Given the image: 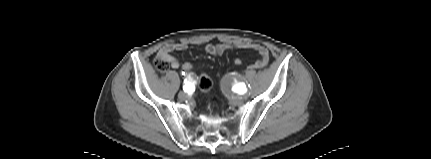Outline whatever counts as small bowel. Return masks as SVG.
I'll return each instance as SVG.
<instances>
[{"label": "small bowel", "mask_w": 431, "mask_h": 159, "mask_svg": "<svg viewBox=\"0 0 431 159\" xmlns=\"http://www.w3.org/2000/svg\"><path fill=\"white\" fill-rule=\"evenodd\" d=\"M187 48V44L185 43H170L163 46L157 53V59L163 60L168 63L173 69H178L179 67L183 70V64L181 65L179 60L172 56L171 53L173 51H182ZM231 48L238 49H250L258 52L259 59L255 61L252 65V69H260L265 67L269 62V52L268 50L259 44L249 43V42H240L235 44H208L206 46V52L212 56L221 55L226 50ZM186 63V62H185Z\"/></svg>", "instance_id": "obj_1"}]
</instances>
